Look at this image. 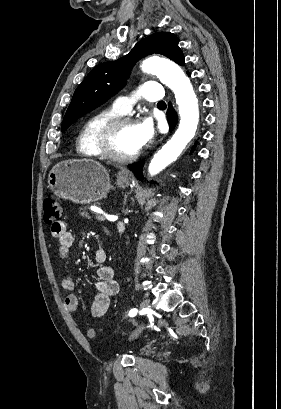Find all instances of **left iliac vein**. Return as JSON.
<instances>
[{"mask_svg": "<svg viewBox=\"0 0 281 409\" xmlns=\"http://www.w3.org/2000/svg\"><path fill=\"white\" fill-rule=\"evenodd\" d=\"M141 308L142 310L147 313L150 310V302L149 300L145 299L141 302ZM143 330V327L140 326L139 328H137V330L133 333L132 338L137 337Z\"/></svg>", "mask_w": 281, "mask_h": 409, "instance_id": "obj_1", "label": "left iliac vein"}]
</instances>
